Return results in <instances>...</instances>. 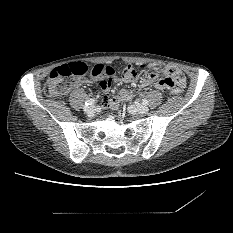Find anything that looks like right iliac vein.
<instances>
[{"instance_id": "obj_1", "label": "right iliac vein", "mask_w": 233, "mask_h": 233, "mask_svg": "<svg viewBox=\"0 0 233 233\" xmlns=\"http://www.w3.org/2000/svg\"><path fill=\"white\" fill-rule=\"evenodd\" d=\"M95 110H96L95 107L92 105L84 107L85 113L88 114L89 116L93 115L95 113Z\"/></svg>"}]
</instances>
